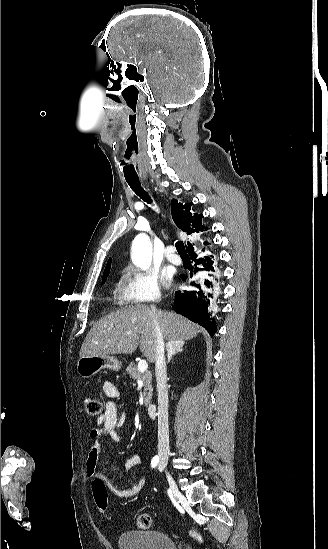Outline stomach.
<instances>
[{
  "mask_svg": "<svg viewBox=\"0 0 328 549\" xmlns=\"http://www.w3.org/2000/svg\"><path fill=\"white\" fill-rule=\"evenodd\" d=\"M122 363L116 357L111 355H97V357H80L77 361V373L83 379L93 377L102 369H110V371H119Z\"/></svg>",
  "mask_w": 328,
  "mask_h": 549,
  "instance_id": "obj_1",
  "label": "stomach"
}]
</instances>
